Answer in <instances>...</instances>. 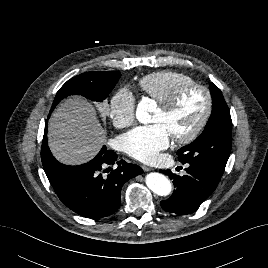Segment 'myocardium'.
Returning a JSON list of instances; mask_svg holds the SVG:
<instances>
[{"label": "myocardium", "instance_id": "obj_1", "mask_svg": "<svg viewBox=\"0 0 268 268\" xmlns=\"http://www.w3.org/2000/svg\"><path fill=\"white\" fill-rule=\"evenodd\" d=\"M193 89L201 90L205 94L206 106H205L202 117L200 118V120L197 122L195 127L189 133L183 136H179V137H172V140L176 144H179V145H185L194 141L202 132L204 127L206 126L211 116L212 108H213L212 93L208 87L199 83L192 82V83H188V84L181 86L174 92V94L165 103L159 104V108L164 114H170L171 112L174 111L176 106L179 104L184 94Z\"/></svg>", "mask_w": 268, "mask_h": 268}]
</instances>
